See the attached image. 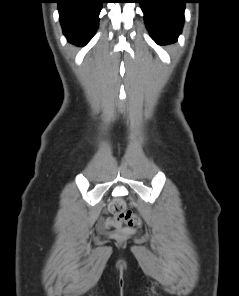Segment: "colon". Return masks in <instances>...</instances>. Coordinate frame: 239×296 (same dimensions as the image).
<instances>
[{
	"mask_svg": "<svg viewBox=\"0 0 239 296\" xmlns=\"http://www.w3.org/2000/svg\"><path fill=\"white\" fill-rule=\"evenodd\" d=\"M109 211L114 216V225L119 226L121 224H126L131 228H137L141 226V220L138 215L128 211L126 209V204L123 199L115 198L111 201L109 205Z\"/></svg>",
	"mask_w": 239,
	"mask_h": 296,
	"instance_id": "obj_1",
	"label": "colon"
}]
</instances>
